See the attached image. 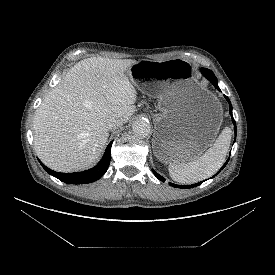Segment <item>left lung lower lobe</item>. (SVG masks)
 Listing matches in <instances>:
<instances>
[{
	"label": "left lung lower lobe",
	"mask_w": 275,
	"mask_h": 275,
	"mask_svg": "<svg viewBox=\"0 0 275 275\" xmlns=\"http://www.w3.org/2000/svg\"><path fill=\"white\" fill-rule=\"evenodd\" d=\"M201 71L204 74V76L208 80L211 81V83L214 85V87L220 91V89L218 87V84H217V78L215 77L214 73L212 71L208 70V69H202ZM224 97L226 98V100L229 103V113L232 116V122L234 124V131H235V136H236V125H235V120H234L233 115H232V105L230 103L229 98L227 96H225V95H224ZM228 161H229V159L225 162V164L221 167V169L217 172V174L226 166V164L228 163ZM152 171H153L154 175L159 180H161L163 182L165 181V179L161 175H159L158 173H156L154 170H152ZM202 182H199V183H196V184H192V185H176V184H173V183H170V185L173 186V187H176V188L188 189V188L196 187V186L200 185Z\"/></svg>",
	"instance_id": "1"
}]
</instances>
